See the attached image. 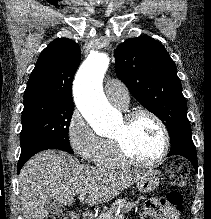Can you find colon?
<instances>
[{
  "instance_id": "obj_1",
  "label": "colon",
  "mask_w": 211,
  "mask_h": 219,
  "mask_svg": "<svg viewBox=\"0 0 211 219\" xmlns=\"http://www.w3.org/2000/svg\"><path fill=\"white\" fill-rule=\"evenodd\" d=\"M188 174V166L185 161L176 159L174 160L167 169L168 180L174 187L181 186ZM167 202L177 211L182 210L184 194L178 189H171L166 195ZM47 219H79L78 212H72L67 215H56L50 216Z\"/></svg>"
}]
</instances>
